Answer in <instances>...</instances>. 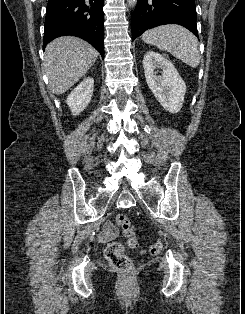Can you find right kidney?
Wrapping results in <instances>:
<instances>
[{"mask_svg": "<svg viewBox=\"0 0 245 314\" xmlns=\"http://www.w3.org/2000/svg\"><path fill=\"white\" fill-rule=\"evenodd\" d=\"M94 79H84L68 96L67 105L73 115H78L90 103L93 95Z\"/></svg>", "mask_w": 245, "mask_h": 314, "instance_id": "ca27d5eb", "label": "right kidney"}]
</instances>
